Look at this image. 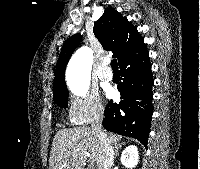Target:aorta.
Segmentation results:
<instances>
[{
  "mask_svg": "<svg viewBox=\"0 0 200 169\" xmlns=\"http://www.w3.org/2000/svg\"><path fill=\"white\" fill-rule=\"evenodd\" d=\"M92 63L93 51L87 46L78 49L71 57L66 70V78L74 94L84 95L88 91Z\"/></svg>",
  "mask_w": 200,
  "mask_h": 169,
  "instance_id": "obj_1",
  "label": "aorta"
}]
</instances>
